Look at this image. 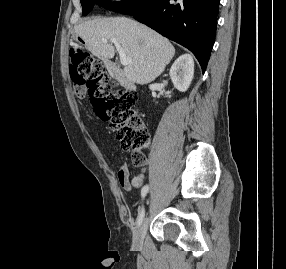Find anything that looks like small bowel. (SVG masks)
<instances>
[{"label":"small bowel","mask_w":286,"mask_h":269,"mask_svg":"<svg viewBox=\"0 0 286 269\" xmlns=\"http://www.w3.org/2000/svg\"><path fill=\"white\" fill-rule=\"evenodd\" d=\"M79 96L83 97L84 93L80 91ZM140 172L132 179L130 180L129 177V168L127 165L122 164L117 172V179L120 184V186L126 190L129 191L132 188H140L144 182L146 168L145 166L140 167Z\"/></svg>","instance_id":"obj_1"}]
</instances>
